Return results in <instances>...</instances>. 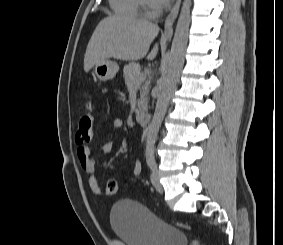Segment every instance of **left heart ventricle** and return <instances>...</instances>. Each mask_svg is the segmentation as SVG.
<instances>
[{
	"label": "left heart ventricle",
	"mask_w": 283,
	"mask_h": 245,
	"mask_svg": "<svg viewBox=\"0 0 283 245\" xmlns=\"http://www.w3.org/2000/svg\"><path fill=\"white\" fill-rule=\"evenodd\" d=\"M151 4H153L152 0H149ZM154 5V4H153Z\"/></svg>",
	"instance_id": "obj_1"
}]
</instances>
